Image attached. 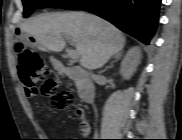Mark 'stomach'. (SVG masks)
Listing matches in <instances>:
<instances>
[{
	"label": "stomach",
	"mask_w": 182,
	"mask_h": 140,
	"mask_svg": "<svg viewBox=\"0 0 182 140\" xmlns=\"http://www.w3.org/2000/svg\"><path fill=\"white\" fill-rule=\"evenodd\" d=\"M16 36H23V31H16ZM20 40H23V37H20Z\"/></svg>",
	"instance_id": "obj_1"
}]
</instances>
